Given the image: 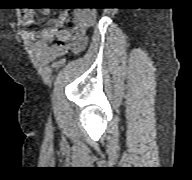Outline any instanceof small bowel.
Wrapping results in <instances>:
<instances>
[{
  "instance_id": "obj_1",
  "label": "small bowel",
  "mask_w": 192,
  "mask_h": 180,
  "mask_svg": "<svg viewBox=\"0 0 192 180\" xmlns=\"http://www.w3.org/2000/svg\"><path fill=\"white\" fill-rule=\"evenodd\" d=\"M43 13H47L44 10ZM35 11L27 9L23 12V19L26 25L35 22ZM67 13L61 11L52 25L38 34L31 31L22 33V37L34 41L35 50L43 57L51 59L67 54L68 52L79 53L87 43V31L94 21V14L87 11H76L72 16V25L64 28ZM56 41L51 44V42Z\"/></svg>"
}]
</instances>
